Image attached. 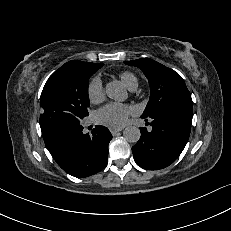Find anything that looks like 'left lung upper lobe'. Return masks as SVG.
Segmentation results:
<instances>
[{
  "mask_svg": "<svg viewBox=\"0 0 231 231\" xmlns=\"http://www.w3.org/2000/svg\"><path fill=\"white\" fill-rule=\"evenodd\" d=\"M140 68L150 85V99L141 117H149L169 106L192 108V98L182 77L174 70L149 59L125 62Z\"/></svg>",
  "mask_w": 231,
  "mask_h": 231,
  "instance_id": "5c2ea615",
  "label": "left lung upper lobe"
}]
</instances>
